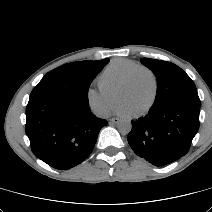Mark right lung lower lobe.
I'll use <instances>...</instances> for the list:
<instances>
[{"label": "right lung lower lobe", "instance_id": "obj_1", "mask_svg": "<svg viewBox=\"0 0 212 212\" xmlns=\"http://www.w3.org/2000/svg\"><path fill=\"white\" fill-rule=\"evenodd\" d=\"M26 134L36 157L49 166L66 170L91 153L100 129L89 103L62 94L31 96L26 107Z\"/></svg>", "mask_w": 212, "mask_h": 212}]
</instances>
